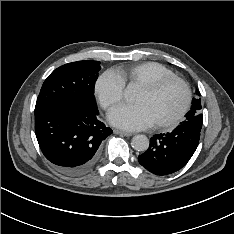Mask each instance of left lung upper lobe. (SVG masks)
<instances>
[{
    "label": "left lung upper lobe",
    "mask_w": 234,
    "mask_h": 234,
    "mask_svg": "<svg viewBox=\"0 0 234 234\" xmlns=\"http://www.w3.org/2000/svg\"><path fill=\"white\" fill-rule=\"evenodd\" d=\"M196 93L199 94L198 91H196ZM201 109V99L193 98L191 109L186 114L185 121H183L181 124L201 131L203 124V115L201 114Z\"/></svg>",
    "instance_id": "1"
}]
</instances>
